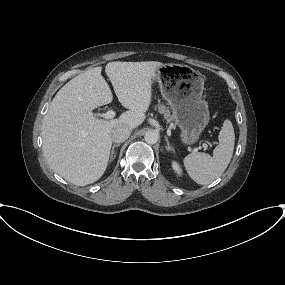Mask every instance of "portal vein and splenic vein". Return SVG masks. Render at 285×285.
I'll list each match as a JSON object with an SVG mask.
<instances>
[{
  "instance_id": "portal-vein-and-splenic-vein-1",
  "label": "portal vein and splenic vein",
  "mask_w": 285,
  "mask_h": 285,
  "mask_svg": "<svg viewBox=\"0 0 285 285\" xmlns=\"http://www.w3.org/2000/svg\"><path fill=\"white\" fill-rule=\"evenodd\" d=\"M96 116H99V117H102V118H105V119H113L115 116H116V113L114 110H109L107 111L106 113H97L95 114ZM205 148H207V144H204L203 145Z\"/></svg>"
}]
</instances>
